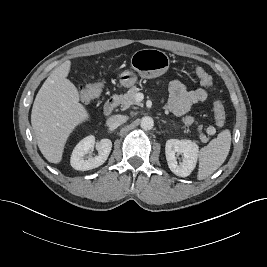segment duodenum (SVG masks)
<instances>
[{
    "instance_id": "duodenum-1",
    "label": "duodenum",
    "mask_w": 267,
    "mask_h": 267,
    "mask_svg": "<svg viewBox=\"0 0 267 267\" xmlns=\"http://www.w3.org/2000/svg\"><path fill=\"white\" fill-rule=\"evenodd\" d=\"M118 102H119L118 95L115 94L109 97L104 104V109H103L104 114L107 116L110 115L114 111V109L117 107Z\"/></svg>"
}]
</instances>
